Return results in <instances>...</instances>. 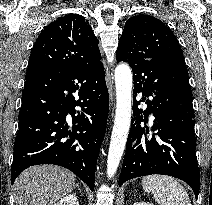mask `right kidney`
<instances>
[{
  "mask_svg": "<svg viewBox=\"0 0 212 205\" xmlns=\"http://www.w3.org/2000/svg\"><path fill=\"white\" fill-rule=\"evenodd\" d=\"M54 205H79L78 199L74 194H70L62 198L59 202Z\"/></svg>",
  "mask_w": 212,
  "mask_h": 205,
  "instance_id": "right-kidney-1",
  "label": "right kidney"
}]
</instances>
